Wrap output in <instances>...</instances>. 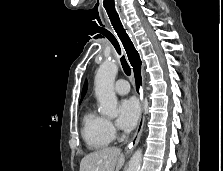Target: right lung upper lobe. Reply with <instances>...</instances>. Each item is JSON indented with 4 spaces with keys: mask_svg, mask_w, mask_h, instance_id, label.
Listing matches in <instances>:
<instances>
[{
    "mask_svg": "<svg viewBox=\"0 0 223 171\" xmlns=\"http://www.w3.org/2000/svg\"><path fill=\"white\" fill-rule=\"evenodd\" d=\"M87 87H88V83L87 81L84 83V86H83V91H82V95H81V98H83L87 92Z\"/></svg>",
    "mask_w": 223,
    "mask_h": 171,
    "instance_id": "obj_1",
    "label": "right lung upper lobe"
}]
</instances>
